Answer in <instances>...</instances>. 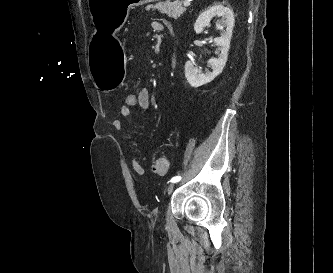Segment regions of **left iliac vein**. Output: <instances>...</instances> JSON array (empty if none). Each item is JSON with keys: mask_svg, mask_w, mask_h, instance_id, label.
Returning a JSON list of instances; mask_svg holds the SVG:
<instances>
[{"mask_svg": "<svg viewBox=\"0 0 333 273\" xmlns=\"http://www.w3.org/2000/svg\"><path fill=\"white\" fill-rule=\"evenodd\" d=\"M174 188H175V183H172V184H170L168 187H167V194L169 195V194H171V192L174 190Z\"/></svg>", "mask_w": 333, "mask_h": 273, "instance_id": "4c4485c4", "label": "left iliac vein"}]
</instances>
